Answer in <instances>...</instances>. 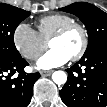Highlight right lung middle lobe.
I'll list each match as a JSON object with an SVG mask.
<instances>
[{
	"label": "right lung middle lobe",
	"instance_id": "1",
	"mask_svg": "<svg viewBox=\"0 0 107 107\" xmlns=\"http://www.w3.org/2000/svg\"><path fill=\"white\" fill-rule=\"evenodd\" d=\"M30 15V12L17 7L0 4V57L15 59L20 57L14 44L16 27Z\"/></svg>",
	"mask_w": 107,
	"mask_h": 107
}]
</instances>
